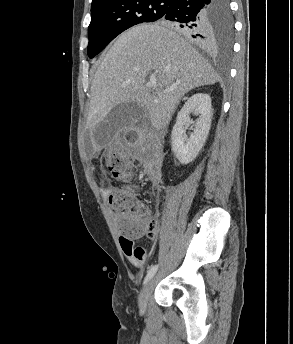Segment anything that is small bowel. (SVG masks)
I'll return each instance as SVG.
<instances>
[{
	"label": "small bowel",
	"mask_w": 293,
	"mask_h": 344,
	"mask_svg": "<svg viewBox=\"0 0 293 344\" xmlns=\"http://www.w3.org/2000/svg\"><path fill=\"white\" fill-rule=\"evenodd\" d=\"M111 192V188L104 189V195L106 197H108ZM112 221L116 229L119 245L121 247L122 252L135 267L143 268L150 260L151 254L146 252L144 248L136 246L135 239L126 236L122 232L115 215H112ZM150 239L152 242H155L157 239V233L155 232L154 235L150 237Z\"/></svg>",
	"instance_id": "obj_1"
}]
</instances>
